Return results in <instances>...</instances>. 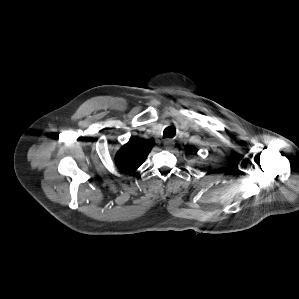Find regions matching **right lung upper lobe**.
<instances>
[{
    "label": "right lung upper lobe",
    "instance_id": "1",
    "mask_svg": "<svg viewBox=\"0 0 299 299\" xmlns=\"http://www.w3.org/2000/svg\"><path fill=\"white\" fill-rule=\"evenodd\" d=\"M151 148L138 140H132L124 145L116 154L117 166L126 171H135L146 159Z\"/></svg>",
    "mask_w": 299,
    "mask_h": 299
}]
</instances>
